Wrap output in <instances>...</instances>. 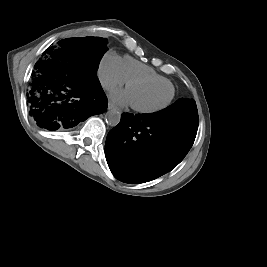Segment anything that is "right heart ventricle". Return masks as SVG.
<instances>
[{"instance_id":"right-heart-ventricle-1","label":"right heart ventricle","mask_w":267,"mask_h":267,"mask_svg":"<svg viewBox=\"0 0 267 267\" xmlns=\"http://www.w3.org/2000/svg\"><path fill=\"white\" fill-rule=\"evenodd\" d=\"M121 66L126 81L134 77H150L164 83H171L166 77L160 75L153 68L129 56L122 58Z\"/></svg>"}]
</instances>
